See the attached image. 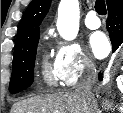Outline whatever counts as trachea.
I'll use <instances>...</instances> for the list:
<instances>
[{
    "instance_id": "trachea-1",
    "label": "trachea",
    "mask_w": 123,
    "mask_h": 113,
    "mask_svg": "<svg viewBox=\"0 0 123 113\" xmlns=\"http://www.w3.org/2000/svg\"><path fill=\"white\" fill-rule=\"evenodd\" d=\"M95 10L99 15H105L107 13L106 11V5L104 0H97L95 2Z\"/></svg>"
}]
</instances>
